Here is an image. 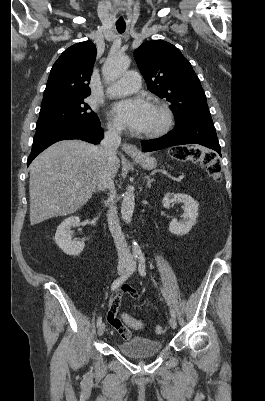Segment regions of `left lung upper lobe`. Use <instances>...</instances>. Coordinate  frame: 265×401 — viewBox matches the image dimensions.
I'll return each mask as SVG.
<instances>
[{
	"label": "left lung upper lobe",
	"mask_w": 265,
	"mask_h": 401,
	"mask_svg": "<svg viewBox=\"0 0 265 401\" xmlns=\"http://www.w3.org/2000/svg\"><path fill=\"white\" fill-rule=\"evenodd\" d=\"M134 58L148 90L171 103L176 123L210 115L199 78L174 45L163 40L148 41L134 51Z\"/></svg>",
	"instance_id": "5c2ea615"
}]
</instances>
